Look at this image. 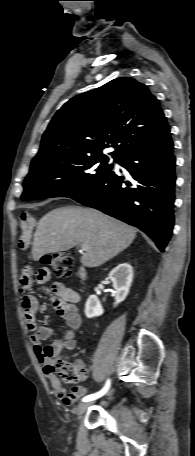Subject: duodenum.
Returning <instances> with one entry per match:
<instances>
[{
    "instance_id": "410a0bca",
    "label": "duodenum",
    "mask_w": 195,
    "mask_h": 456,
    "mask_svg": "<svg viewBox=\"0 0 195 456\" xmlns=\"http://www.w3.org/2000/svg\"><path fill=\"white\" fill-rule=\"evenodd\" d=\"M80 278L84 279L86 277V270L82 267L79 269V272H78Z\"/></svg>"
}]
</instances>
